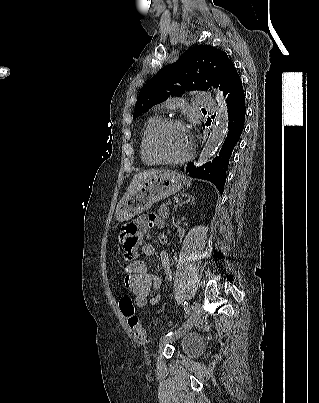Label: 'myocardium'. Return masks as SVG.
<instances>
[{
	"label": "myocardium",
	"instance_id": "myocardium-1",
	"mask_svg": "<svg viewBox=\"0 0 319 403\" xmlns=\"http://www.w3.org/2000/svg\"><path fill=\"white\" fill-rule=\"evenodd\" d=\"M169 126H181V127L185 128L189 133V136H190L189 150L187 151V153L184 156H182L180 158H176V159L165 158L159 153V151L157 149V140H158L159 135L163 132V130H165ZM194 149H195L194 141H193V138L191 136V133H190V130H189L187 124L184 121L177 119V118L163 119L150 135L149 151H150L151 155L159 163H162V164H182V163L188 161L192 157V155L194 153Z\"/></svg>",
	"mask_w": 319,
	"mask_h": 403
}]
</instances>
